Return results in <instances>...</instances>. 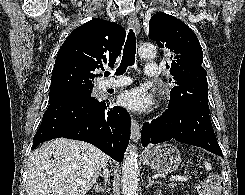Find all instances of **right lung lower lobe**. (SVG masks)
<instances>
[{
	"mask_svg": "<svg viewBox=\"0 0 245 195\" xmlns=\"http://www.w3.org/2000/svg\"><path fill=\"white\" fill-rule=\"evenodd\" d=\"M93 144L116 161H122L130 139L126 109L94 97L52 103L43 115L32 149L54 138Z\"/></svg>",
	"mask_w": 245,
	"mask_h": 195,
	"instance_id": "right-lung-lower-lobe-1",
	"label": "right lung lower lobe"
}]
</instances>
